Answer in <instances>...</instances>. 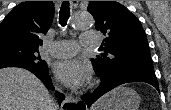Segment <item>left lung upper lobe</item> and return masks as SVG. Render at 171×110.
I'll return each mask as SVG.
<instances>
[{
    "instance_id": "1",
    "label": "left lung upper lobe",
    "mask_w": 171,
    "mask_h": 110,
    "mask_svg": "<svg viewBox=\"0 0 171 110\" xmlns=\"http://www.w3.org/2000/svg\"><path fill=\"white\" fill-rule=\"evenodd\" d=\"M97 31L106 35L104 54L92 60L100 77L124 68L154 69L147 37L138 18L116 1H90Z\"/></svg>"
}]
</instances>
